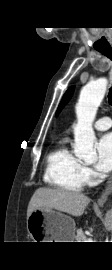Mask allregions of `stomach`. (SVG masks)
Listing matches in <instances>:
<instances>
[{"instance_id": "0dacf381", "label": "stomach", "mask_w": 112, "mask_h": 270, "mask_svg": "<svg viewBox=\"0 0 112 270\" xmlns=\"http://www.w3.org/2000/svg\"><path fill=\"white\" fill-rule=\"evenodd\" d=\"M27 230L34 242H73L76 226L71 217L43 208L27 218Z\"/></svg>"}]
</instances>
